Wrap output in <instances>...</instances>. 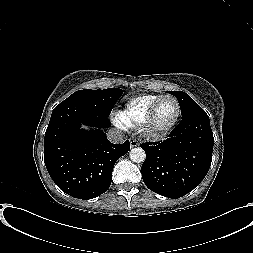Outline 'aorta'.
I'll return each instance as SVG.
<instances>
[{
    "label": "aorta",
    "mask_w": 253,
    "mask_h": 253,
    "mask_svg": "<svg viewBox=\"0 0 253 253\" xmlns=\"http://www.w3.org/2000/svg\"><path fill=\"white\" fill-rule=\"evenodd\" d=\"M129 156H130L131 161L135 163H141L146 158L145 151L140 147L131 149Z\"/></svg>",
    "instance_id": "aorta-1"
}]
</instances>
